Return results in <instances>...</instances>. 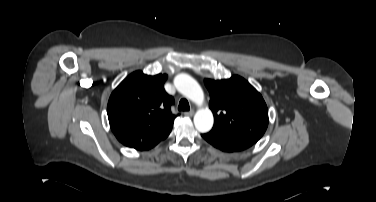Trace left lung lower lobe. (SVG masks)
<instances>
[{"label":"left lung lower lobe","mask_w":376,"mask_h":202,"mask_svg":"<svg viewBox=\"0 0 376 202\" xmlns=\"http://www.w3.org/2000/svg\"><path fill=\"white\" fill-rule=\"evenodd\" d=\"M202 137L214 147L227 152L241 151L256 143L216 128H212L211 131L203 134Z\"/></svg>","instance_id":"obj_1"}]
</instances>
